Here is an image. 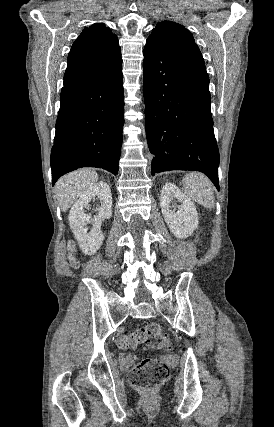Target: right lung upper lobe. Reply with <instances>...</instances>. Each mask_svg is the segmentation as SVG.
Here are the masks:
<instances>
[{
  "instance_id": "obj_1",
  "label": "right lung upper lobe",
  "mask_w": 274,
  "mask_h": 427,
  "mask_svg": "<svg viewBox=\"0 0 274 427\" xmlns=\"http://www.w3.org/2000/svg\"><path fill=\"white\" fill-rule=\"evenodd\" d=\"M118 38L103 23L84 28L74 42L64 75V86L101 75L122 62Z\"/></svg>"
}]
</instances>
